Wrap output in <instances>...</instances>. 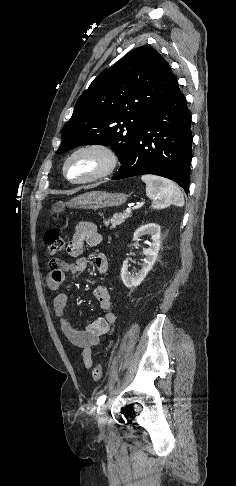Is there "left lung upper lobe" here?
Segmentation results:
<instances>
[{
    "label": "left lung upper lobe",
    "mask_w": 236,
    "mask_h": 486,
    "mask_svg": "<svg viewBox=\"0 0 236 486\" xmlns=\"http://www.w3.org/2000/svg\"><path fill=\"white\" fill-rule=\"evenodd\" d=\"M178 84L168 62L141 46L100 73L76 102L58 154L79 145H110L120 162L156 108Z\"/></svg>",
    "instance_id": "1"
}]
</instances>
